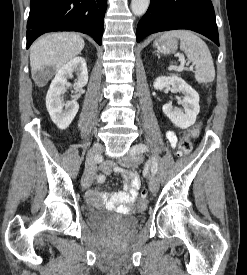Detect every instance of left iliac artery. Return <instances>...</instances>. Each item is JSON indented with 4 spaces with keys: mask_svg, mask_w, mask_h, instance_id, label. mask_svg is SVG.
<instances>
[{
    "mask_svg": "<svg viewBox=\"0 0 247 275\" xmlns=\"http://www.w3.org/2000/svg\"><path fill=\"white\" fill-rule=\"evenodd\" d=\"M147 150H148V147L146 145H143V144H140L137 147V151L140 152V153H143ZM157 170H158V163H157V160L153 157L152 158V164H151L152 174L155 175L157 173Z\"/></svg>",
    "mask_w": 247,
    "mask_h": 275,
    "instance_id": "44dca946",
    "label": "left iliac artery"
}]
</instances>
